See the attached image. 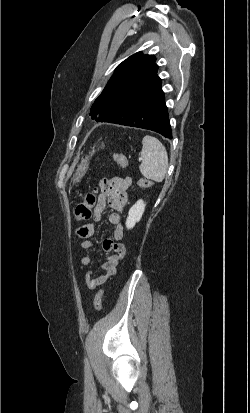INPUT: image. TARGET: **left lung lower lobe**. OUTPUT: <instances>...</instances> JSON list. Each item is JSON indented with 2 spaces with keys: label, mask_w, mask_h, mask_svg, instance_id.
Listing matches in <instances>:
<instances>
[{
  "label": "left lung lower lobe",
  "mask_w": 250,
  "mask_h": 413,
  "mask_svg": "<svg viewBox=\"0 0 250 413\" xmlns=\"http://www.w3.org/2000/svg\"><path fill=\"white\" fill-rule=\"evenodd\" d=\"M100 122L148 129L172 138L161 79L138 84L120 108L113 115L103 117Z\"/></svg>",
  "instance_id": "obj_1"
}]
</instances>
